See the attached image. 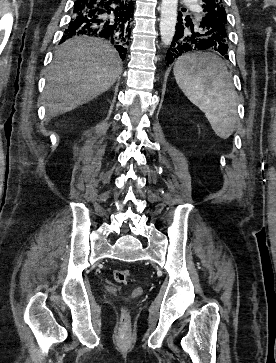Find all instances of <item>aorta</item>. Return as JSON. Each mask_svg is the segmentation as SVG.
<instances>
[{
	"mask_svg": "<svg viewBox=\"0 0 276 363\" xmlns=\"http://www.w3.org/2000/svg\"><path fill=\"white\" fill-rule=\"evenodd\" d=\"M177 5L178 0H162L161 3L160 35L165 46L171 44L175 34Z\"/></svg>",
	"mask_w": 276,
	"mask_h": 363,
	"instance_id": "762f6f07",
	"label": "aorta"
}]
</instances>
